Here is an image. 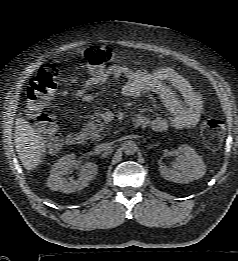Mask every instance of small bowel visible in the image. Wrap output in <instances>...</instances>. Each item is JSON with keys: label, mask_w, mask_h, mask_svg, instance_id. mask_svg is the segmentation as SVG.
Masks as SVG:
<instances>
[{"label": "small bowel", "mask_w": 238, "mask_h": 261, "mask_svg": "<svg viewBox=\"0 0 238 261\" xmlns=\"http://www.w3.org/2000/svg\"><path fill=\"white\" fill-rule=\"evenodd\" d=\"M124 77L126 82L121 92L126 97H139L143 94H153L159 97L170 116H157L145 119V125L157 132H163L169 127L175 129L190 128L197 124L203 111V100L191 83L171 67H162L149 72L135 69L127 65L113 64L102 76H91L76 96L85 102L93 101L96 95L90 90L104 84L109 78Z\"/></svg>", "instance_id": "obj_1"}]
</instances>
